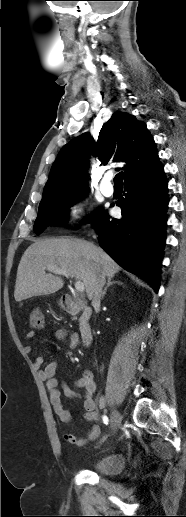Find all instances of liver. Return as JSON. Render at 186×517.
I'll use <instances>...</instances> for the list:
<instances>
[{"instance_id": "liver-1", "label": "liver", "mask_w": 186, "mask_h": 517, "mask_svg": "<svg viewBox=\"0 0 186 517\" xmlns=\"http://www.w3.org/2000/svg\"><path fill=\"white\" fill-rule=\"evenodd\" d=\"M48 266L66 270L82 281L90 300L98 276L109 279L121 269L107 253L91 242L76 238L37 240L27 248L18 265L14 291L16 302L55 293L63 287L61 277L45 273Z\"/></svg>"}]
</instances>
